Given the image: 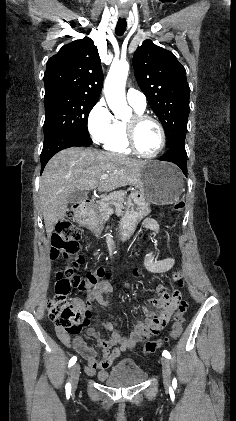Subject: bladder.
Returning a JSON list of instances; mask_svg holds the SVG:
<instances>
[{"mask_svg":"<svg viewBox=\"0 0 236 421\" xmlns=\"http://www.w3.org/2000/svg\"><path fill=\"white\" fill-rule=\"evenodd\" d=\"M133 358L122 359L114 364L104 378V384L110 386H125L139 384L147 379Z\"/></svg>","mask_w":236,"mask_h":421,"instance_id":"31cf9c89","label":"bladder"}]
</instances>
